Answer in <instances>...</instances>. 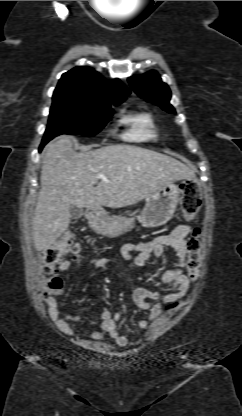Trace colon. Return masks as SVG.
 I'll return each mask as SVG.
<instances>
[{
    "label": "colon",
    "mask_w": 242,
    "mask_h": 416,
    "mask_svg": "<svg viewBox=\"0 0 242 416\" xmlns=\"http://www.w3.org/2000/svg\"><path fill=\"white\" fill-rule=\"evenodd\" d=\"M182 212L186 221H192L197 215L202 198L197 180H186L182 186ZM187 269L192 280H197L201 274L202 249L200 243V230L195 228L186 241ZM72 254L75 257L81 256L80 245L69 235H63L60 239L50 245L43 254V269L45 282L42 286V296L50 304L52 299L60 295L62 291V280L58 275L57 266L64 257ZM175 307L169 305L166 309Z\"/></svg>",
    "instance_id": "5ec220e1"
}]
</instances>
